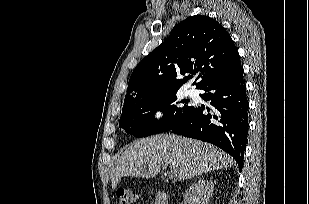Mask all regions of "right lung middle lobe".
Segmentation results:
<instances>
[{"mask_svg": "<svg viewBox=\"0 0 309 204\" xmlns=\"http://www.w3.org/2000/svg\"><path fill=\"white\" fill-rule=\"evenodd\" d=\"M181 102L185 105H177L176 92L124 101L119 127L138 138L169 131L192 107L186 100ZM157 109L164 113L160 120L153 119Z\"/></svg>", "mask_w": 309, "mask_h": 204, "instance_id": "obj_1", "label": "right lung middle lobe"}]
</instances>
